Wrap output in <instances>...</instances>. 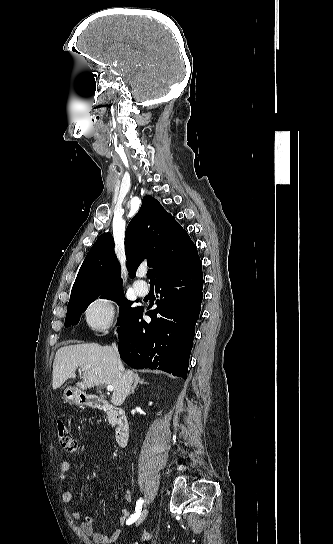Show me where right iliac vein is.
<instances>
[{
  "mask_svg": "<svg viewBox=\"0 0 333 544\" xmlns=\"http://www.w3.org/2000/svg\"><path fill=\"white\" fill-rule=\"evenodd\" d=\"M147 515H148V509L147 507H145L140 513L138 519L136 520L135 526L136 527L139 526L146 519Z\"/></svg>",
  "mask_w": 333,
  "mask_h": 544,
  "instance_id": "right-iliac-vein-1",
  "label": "right iliac vein"
}]
</instances>
